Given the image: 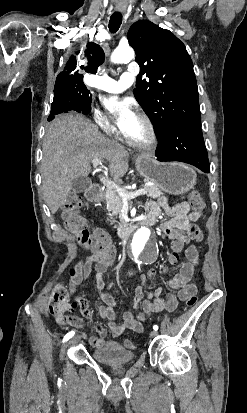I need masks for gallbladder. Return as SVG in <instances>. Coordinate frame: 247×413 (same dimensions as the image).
<instances>
[{"label": "gallbladder", "mask_w": 247, "mask_h": 413, "mask_svg": "<svg viewBox=\"0 0 247 413\" xmlns=\"http://www.w3.org/2000/svg\"><path fill=\"white\" fill-rule=\"evenodd\" d=\"M91 184L92 180H90L88 176H76V178L72 180L71 194H75V192H85L86 188H89Z\"/></svg>", "instance_id": "bac80fb5"}]
</instances>
